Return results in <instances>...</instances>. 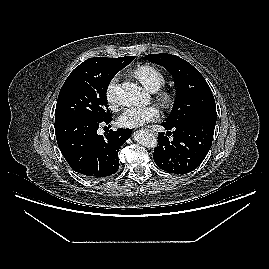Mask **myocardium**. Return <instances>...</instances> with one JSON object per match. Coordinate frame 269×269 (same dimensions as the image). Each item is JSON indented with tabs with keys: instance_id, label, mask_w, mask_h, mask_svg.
Wrapping results in <instances>:
<instances>
[{
	"instance_id": "myocardium-1",
	"label": "myocardium",
	"mask_w": 269,
	"mask_h": 269,
	"mask_svg": "<svg viewBox=\"0 0 269 269\" xmlns=\"http://www.w3.org/2000/svg\"><path fill=\"white\" fill-rule=\"evenodd\" d=\"M158 102L163 108H168L172 104L173 99L171 94H169L168 92H161L158 95Z\"/></svg>"
}]
</instances>
